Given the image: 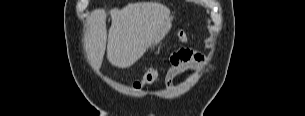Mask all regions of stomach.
<instances>
[{
    "mask_svg": "<svg viewBox=\"0 0 305 116\" xmlns=\"http://www.w3.org/2000/svg\"><path fill=\"white\" fill-rule=\"evenodd\" d=\"M172 26L171 23V19L166 20L162 25L161 28L158 32V34L156 35V37L154 38V40L152 41V43L149 45L148 48H154L158 43H160L164 37L166 36V34L170 31Z\"/></svg>",
    "mask_w": 305,
    "mask_h": 116,
    "instance_id": "stomach-1",
    "label": "stomach"
}]
</instances>
